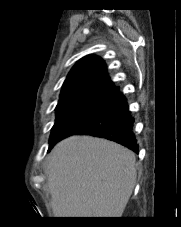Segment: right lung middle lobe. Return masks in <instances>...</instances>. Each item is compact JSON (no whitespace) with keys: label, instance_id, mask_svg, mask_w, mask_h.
<instances>
[{"label":"right lung middle lobe","instance_id":"right-lung-middle-lobe-1","mask_svg":"<svg viewBox=\"0 0 181 227\" xmlns=\"http://www.w3.org/2000/svg\"><path fill=\"white\" fill-rule=\"evenodd\" d=\"M112 93L95 92L60 99L49 143L56 142L70 126L100 109Z\"/></svg>","mask_w":181,"mask_h":227}]
</instances>
